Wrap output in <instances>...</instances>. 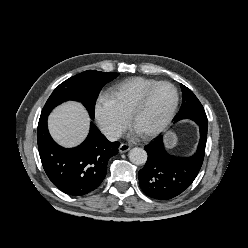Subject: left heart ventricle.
Returning <instances> with one entry per match:
<instances>
[{
    "mask_svg": "<svg viewBox=\"0 0 248 248\" xmlns=\"http://www.w3.org/2000/svg\"><path fill=\"white\" fill-rule=\"evenodd\" d=\"M174 101V91L171 87L162 85L150 95L145 107L134 122L137 133H145L158 126L169 113Z\"/></svg>",
    "mask_w": 248,
    "mask_h": 248,
    "instance_id": "b2bd125f",
    "label": "left heart ventricle"
}]
</instances>
